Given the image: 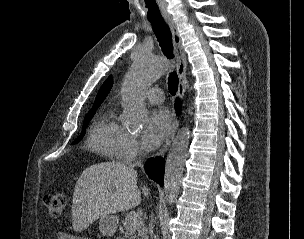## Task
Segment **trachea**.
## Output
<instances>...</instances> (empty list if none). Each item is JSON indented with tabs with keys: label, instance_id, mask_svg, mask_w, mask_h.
<instances>
[{
	"label": "trachea",
	"instance_id": "trachea-1",
	"mask_svg": "<svg viewBox=\"0 0 304 239\" xmlns=\"http://www.w3.org/2000/svg\"><path fill=\"white\" fill-rule=\"evenodd\" d=\"M145 7H147V18L152 24L154 33L158 39L162 52L168 59H172L173 44L172 34L168 25L163 20L162 12H159V2L156 0H145ZM168 89L171 95H175L178 89V77L175 72H172L168 78Z\"/></svg>",
	"mask_w": 304,
	"mask_h": 239
}]
</instances>
